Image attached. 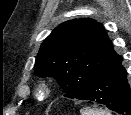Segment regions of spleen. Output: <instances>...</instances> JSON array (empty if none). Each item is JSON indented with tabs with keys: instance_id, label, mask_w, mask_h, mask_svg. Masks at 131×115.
Returning a JSON list of instances; mask_svg holds the SVG:
<instances>
[{
	"instance_id": "3e777b00",
	"label": "spleen",
	"mask_w": 131,
	"mask_h": 115,
	"mask_svg": "<svg viewBox=\"0 0 131 115\" xmlns=\"http://www.w3.org/2000/svg\"><path fill=\"white\" fill-rule=\"evenodd\" d=\"M81 115H111L105 110H93L89 108H84L80 110Z\"/></svg>"
}]
</instances>
